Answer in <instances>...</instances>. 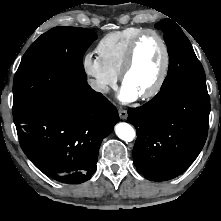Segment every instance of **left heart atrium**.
Instances as JSON below:
<instances>
[{"label": "left heart atrium", "instance_id": "1", "mask_svg": "<svg viewBox=\"0 0 221 221\" xmlns=\"http://www.w3.org/2000/svg\"><path fill=\"white\" fill-rule=\"evenodd\" d=\"M139 95L133 91L132 89L128 88L127 86L123 85L119 94L120 100L124 102H130L137 99Z\"/></svg>", "mask_w": 221, "mask_h": 221}]
</instances>
